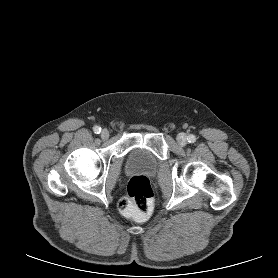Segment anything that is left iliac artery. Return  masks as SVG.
Returning a JSON list of instances; mask_svg holds the SVG:
<instances>
[{
    "label": "left iliac artery",
    "instance_id": "1",
    "mask_svg": "<svg viewBox=\"0 0 278 278\" xmlns=\"http://www.w3.org/2000/svg\"><path fill=\"white\" fill-rule=\"evenodd\" d=\"M189 143H194L196 141V137L194 135H189L187 138Z\"/></svg>",
    "mask_w": 278,
    "mask_h": 278
}]
</instances>
